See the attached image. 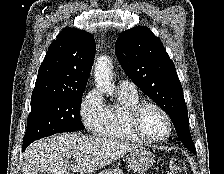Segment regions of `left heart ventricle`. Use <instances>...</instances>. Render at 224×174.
Returning <instances> with one entry per match:
<instances>
[{
    "label": "left heart ventricle",
    "mask_w": 224,
    "mask_h": 174,
    "mask_svg": "<svg viewBox=\"0 0 224 174\" xmlns=\"http://www.w3.org/2000/svg\"><path fill=\"white\" fill-rule=\"evenodd\" d=\"M143 132L153 138H159L166 134L168 125L163 115L153 108L144 111L141 118Z\"/></svg>",
    "instance_id": "left-heart-ventricle-1"
}]
</instances>
